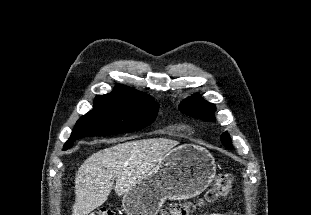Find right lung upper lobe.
I'll use <instances>...</instances> for the list:
<instances>
[{"mask_svg":"<svg viewBox=\"0 0 311 215\" xmlns=\"http://www.w3.org/2000/svg\"><path fill=\"white\" fill-rule=\"evenodd\" d=\"M97 97H112L139 102L154 101V98L152 96L136 91L124 85H117L112 93L106 95H99Z\"/></svg>","mask_w":311,"mask_h":215,"instance_id":"right-lung-upper-lobe-1","label":"right lung upper lobe"}]
</instances>
